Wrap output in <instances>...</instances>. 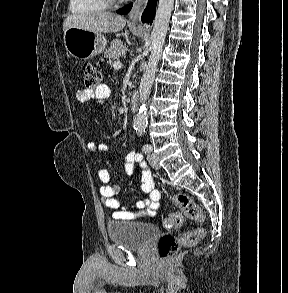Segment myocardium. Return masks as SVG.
Listing matches in <instances>:
<instances>
[{"mask_svg":"<svg viewBox=\"0 0 288 293\" xmlns=\"http://www.w3.org/2000/svg\"><path fill=\"white\" fill-rule=\"evenodd\" d=\"M108 4H113L117 1H120V0H105Z\"/></svg>","mask_w":288,"mask_h":293,"instance_id":"obj_1","label":"myocardium"}]
</instances>
